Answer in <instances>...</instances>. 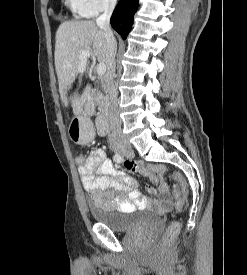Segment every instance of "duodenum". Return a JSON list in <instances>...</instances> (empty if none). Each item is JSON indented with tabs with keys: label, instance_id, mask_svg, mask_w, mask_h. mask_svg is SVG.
<instances>
[{
	"label": "duodenum",
	"instance_id": "410a0bca",
	"mask_svg": "<svg viewBox=\"0 0 247 275\" xmlns=\"http://www.w3.org/2000/svg\"><path fill=\"white\" fill-rule=\"evenodd\" d=\"M92 97L93 92H89L85 95L84 102H83V108L85 111H88L92 108ZM108 121H109V115L108 113L100 115L95 120V126L98 135L104 136L107 133L108 130Z\"/></svg>",
	"mask_w": 247,
	"mask_h": 275
}]
</instances>
